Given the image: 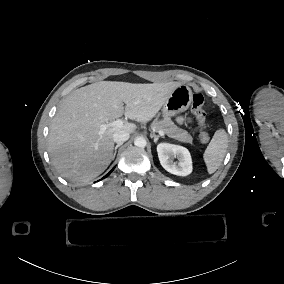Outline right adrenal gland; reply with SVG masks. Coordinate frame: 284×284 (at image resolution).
<instances>
[{"label":"right adrenal gland","instance_id":"1","mask_svg":"<svg viewBox=\"0 0 284 284\" xmlns=\"http://www.w3.org/2000/svg\"><path fill=\"white\" fill-rule=\"evenodd\" d=\"M121 146H122V144H118V145L114 148L113 158L116 157L117 149H118L119 147H121Z\"/></svg>","mask_w":284,"mask_h":284}]
</instances>
